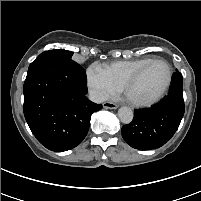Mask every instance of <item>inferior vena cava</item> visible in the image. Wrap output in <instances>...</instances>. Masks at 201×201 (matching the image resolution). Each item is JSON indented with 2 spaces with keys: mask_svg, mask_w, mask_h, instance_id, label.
I'll return each mask as SVG.
<instances>
[{
  "mask_svg": "<svg viewBox=\"0 0 201 201\" xmlns=\"http://www.w3.org/2000/svg\"><path fill=\"white\" fill-rule=\"evenodd\" d=\"M89 99L92 102L99 104L107 100V95L105 93H102L96 90H91L89 92Z\"/></svg>",
  "mask_w": 201,
  "mask_h": 201,
  "instance_id": "1",
  "label": "inferior vena cava"
}]
</instances>
